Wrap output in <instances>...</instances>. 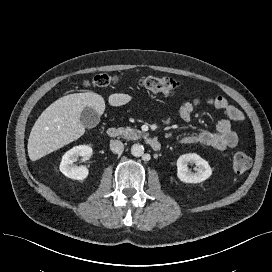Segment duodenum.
I'll return each mask as SVG.
<instances>
[{"instance_id": "obj_1", "label": "duodenum", "mask_w": 272, "mask_h": 272, "mask_svg": "<svg viewBox=\"0 0 272 272\" xmlns=\"http://www.w3.org/2000/svg\"><path fill=\"white\" fill-rule=\"evenodd\" d=\"M107 135L109 138L115 139L119 136V131L117 128L112 127L108 129ZM146 142L150 146V148L154 151H159L161 149L160 142L156 140L155 138L147 137Z\"/></svg>"}]
</instances>
